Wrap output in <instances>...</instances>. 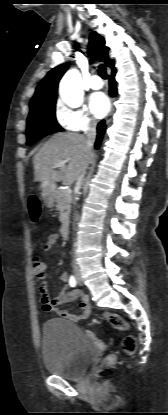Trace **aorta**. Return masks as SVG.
<instances>
[{"label":"aorta","mask_w":168,"mask_h":415,"mask_svg":"<svg viewBox=\"0 0 168 415\" xmlns=\"http://www.w3.org/2000/svg\"><path fill=\"white\" fill-rule=\"evenodd\" d=\"M61 99L68 106L76 108L83 103L84 93L81 89V76L78 70H69L60 82Z\"/></svg>","instance_id":"1"}]
</instances>
